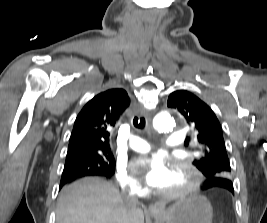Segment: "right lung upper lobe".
Returning <instances> with one entry per match:
<instances>
[{
    "label": "right lung upper lobe",
    "instance_id": "obj_1",
    "mask_svg": "<svg viewBox=\"0 0 267 223\" xmlns=\"http://www.w3.org/2000/svg\"><path fill=\"white\" fill-rule=\"evenodd\" d=\"M129 104L130 99L123 89H110L90 100L75 120L67 157L111 153V128Z\"/></svg>",
    "mask_w": 267,
    "mask_h": 223
}]
</instances>
